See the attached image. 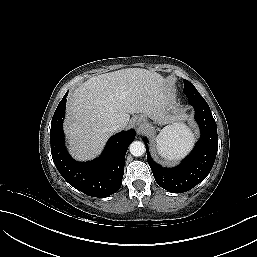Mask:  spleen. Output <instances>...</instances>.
<instances>
[{"label":"spleen","mask_w":257,"mask_h":257,"mask_svg":"<svg viewBox=\"0 0 257 257\" xmlns=\"http://www.w3.org/2000/svg\"><path fill=\"white\" fill-rule=\"evenodd\" d=\"M193 142V133L181 122L164 127L156 137L158 152L168 161L183 157L191 149Z\"/></svg>","instance_id":"spleen-1"}]
</instances>
